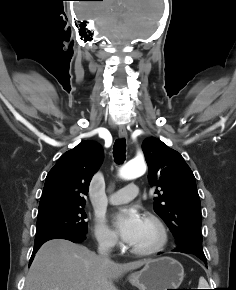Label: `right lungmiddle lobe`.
<instances>
[{
    "instance_id": "dd1d6c3e",
    "label": "right lung middle lobe",
    "mask_w": 236,
    "mask_h": 290,
    "mask_svg": "<svg viewBox=\"0 0 236 290\" xmlns=\"http://www.w3.org/2000/svg\"><path fill=\"white\" fill-rule=\"evenodd\" d=\"M84 206L64 205L39 209L35 241L56 234H87Z\"/></svg>"
}]
</instances>
